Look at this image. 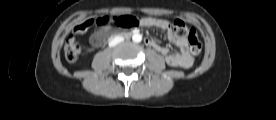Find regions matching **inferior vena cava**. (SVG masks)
Returning a JSON list of instances; mask_svg holds the SVG:
<instances>
[{
  "label": "inferior vena cava",
  "mask_w": 276,
  "mask_h": 120,
  "mask_svg": "<svg viewBox=\"0 0 276 120\" xmlns=\"http://www.w3.org/2000/svg\"><path fill=\"white\" fill-rule=\"evenodd\" d=\"M124 40L123 37H115L109 42V46L113 47Z\"/></svg>",
  "instance_id": "1"
}]
</instances>
